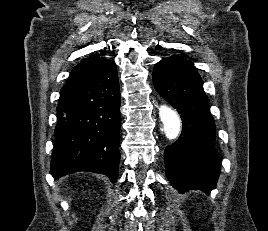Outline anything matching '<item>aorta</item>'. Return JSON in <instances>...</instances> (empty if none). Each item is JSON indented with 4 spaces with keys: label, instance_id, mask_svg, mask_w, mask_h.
<instances>
[{
    "label": "aorta",
    "instance_id": "1",
    "mask_svg": "<svg viewBox=\"0 0 268 231\" xmlns=\"http://www.w3.org/2000/svg\"><path fill=\"white\" fill-rule=\"evenodd\" d=\"M159 116L164 125V133L170 140L177 138L181 131V121L178 114L171 108L162 105L159 108Z\"/></svg>",
    "mask_w": 268,
    "mask_h": 231
}]
</instances>
